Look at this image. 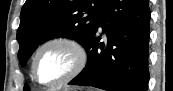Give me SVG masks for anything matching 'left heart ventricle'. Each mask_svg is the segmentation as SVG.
Wrapping results in <instances>:
<instances>
[{
  "label": "left heart ventricle",
  "instance_id": "1",
  "mask_svg": "<svg viewBox=\"0 0 173 91\" xmlns=\"http://www.w3.org/2000/svg\"><path fill=\"white\" fill-rule=\"evenodd\" d=\"M74 57L63 46H50L39 56L36 66L38 78L51 82L66 75L72 68Z\"/></svg>",
  "mask_w": 173,
  "mask_h": 91
}]
</instances>
